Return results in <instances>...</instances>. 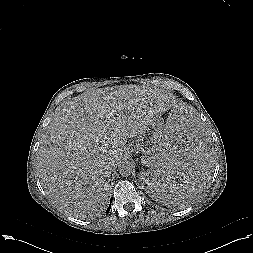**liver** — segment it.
<instances>
[{
	"instance_id": "6515ba94",
	"label": "liver",
	"mask_w": 253,
	"mask_h": 253,
	"mask_svg": "<svg viewBox=\"0 0 253 253\" xmlns=\"http://www.w3.org/2000/svg\"><path fill=\"white\" fill-rule=\"evenodd\" d=\"M171 107L159 89L121 85L86 91L63 102L46 128L37 155L41 184L51 202L76 218L103 212L111 170L128 138Z\"/></svg>"
}]
</instances>
